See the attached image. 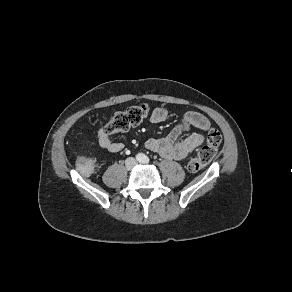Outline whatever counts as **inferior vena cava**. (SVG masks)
I'll list each match as a JSON object with an SVG mask.
<instances>
[{
  "instance_id": "1",
  "label": "inferior vena cava",
  "mask_w": 292,
  "mask_h": 292,
  "mask_svg": "<svg viewBox=\"0 0 292 292\" xmlns=\"http://www.w3.org/2000/svg\"><path fill=\"white\" fill-rule=\"evenodd\" d=\"M125 165H126L127 169H131L137 165V161L135 158L129 157L125 160Z\"/></svg>"
}]
</instances>
